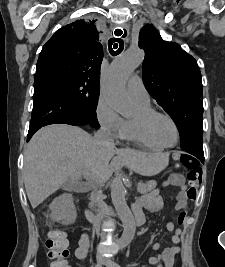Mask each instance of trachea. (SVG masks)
<instances>
[{
	"mask_svg": "<svg viewBox=\"0 0 225 267\" xmlns=\"http://www.w3.org/2000/svg\"><path fill=\"white\" fill-rule=\"evenodd\" d=\"M125 31V30H124ZM123 31L121 29H116L115 34L117 37L121 36ZM126 36V31L123 35V37ZM108 47H109V52L111 55L116 56L120 54L123 49H124V42L121 38H111L108 41Z\"/></svg>",
	"mask_w": 225,
	"mask_h": 267,
	"instance_id": "trachea-1",
	"label": "trachea"
}]
</instances>
